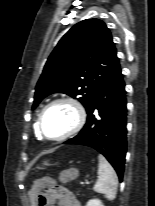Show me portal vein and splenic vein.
Segmentation results:
<instances>
[{"instance_id": "1", "label": "portal vein and splenic vein", "mask_w": 155, "mask_h": 206, "mask_svg": "<svg viewBox=\"0 0 155 206\" xmlns=\"http://www.w3.org/2000/svg\"><path fill=\"white\" fill-rule=\"evenodd\" d=\"M81 184H86V185H88V184H89V182H81Z\"/></svg>"}]
</instances>
